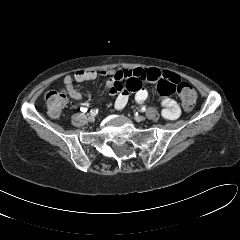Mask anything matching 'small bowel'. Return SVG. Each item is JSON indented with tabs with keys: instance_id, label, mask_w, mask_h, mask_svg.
<instances>
[{
	"instance_id": "small-bowel-1",
	"label": "small bowel",
	"mask_w": 240,
	"mask_h": 240,
	"mask_svg": "<svg viewBox=\"0 0 240 240\" xmlns=\"http://www.w3.org/2000/svg\"><path fill=\"white\" fill-rule=\"evenodd\" d=\"M102 75L108 74L106 71ZM98 74L94 70H78L74 74H67L63 78V84L68 95L73 100H81L82 94L74 87V81H92ZM144 82L156 83L160 94V104L162 116L167 120H175L180 115V108L177 102L170 97L176 86L181 82V78L170 71H162L157 68H136L124 69L110 72V77L106 82V88L111 95L116 96L114 107L116 110L125 108L129 101L130 94H134L137 104H142L148 98V91L143 86Z\"/></svg>"
}]
</instances>
